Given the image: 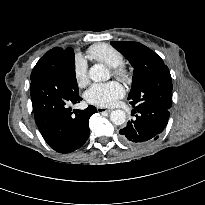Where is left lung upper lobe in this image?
I'll return each mask as SVG.
<instances>
[{"label":"left lung upper lobe","instance_id":"1","mask_svg":"<svg viewBox=\"0 0 205 205\" xmlns=\"http://www.w3.org/2000/svg\"><path fill=\"white\" fill-rule=\"evenodd\" d=\"M134 68L131 91L128 95L134 108L172 105V79L162 59L151 49L138 42L112 41Z\"/></svg>","mask_w":205,"mask_h":205}]
</instances>
